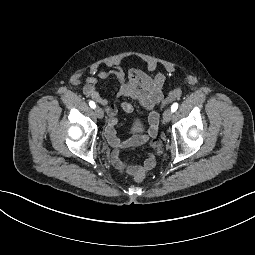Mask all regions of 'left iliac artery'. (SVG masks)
I'll list each match as a JSON object with an SVG mask.
<instances>
[{
  "label": "left iliac artery",
  "instance_id": "1",
  "mask_svg": "<svg viewBox=\"0 0 255 255\" xmlns=\"http://www.w3.org/2000/svg\"><path fill=\"white\" fill-rule=\"evenodd\" d=\"M178 108V104L177 103H174L172 106H171V110L172 112H175Z\"/></svg>",
  "mask_w": 255,
  "mask_h": 255
}]
</instances>
